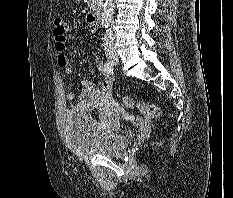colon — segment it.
Instances as JSON below:
<instances>
[{
    "label": "colon",
    "instance_id": "5ec220e1",
    "mask_svg": "<svg viewBox=\"0 0 233 198\" xmlns=\"http://www.w3.org/2000/svg\"><path fill=\"white\" fill-rule=\"evenodd\" d=\"M54 36L62 38L66 36L67 25L61 18H56L54 22ZM123 103L127 108L137 109L142 115L148 118H158L161 114L160 107L154 104H146L135 100L130 96L123 98Z\"/></svg>",
    "mask_w": 233,
    "mask_h": 198
}]
</instances>
